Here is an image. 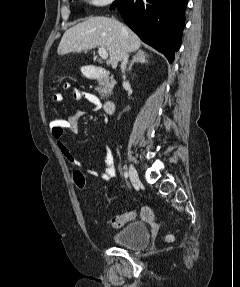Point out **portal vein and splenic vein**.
Listing matches in <instances>:
<instances>
[{"label": "portal vein and splenic vein", "mask_w": 240, "mask_h": 287, "mask_svg": "<svg viewBox=\"0 0 240 287\" xmlns=\"http://www.w3.org/2000/svg\"><path fill=\"white\" fill-rule=\"evenodd\" d=\"M98 53L102 59H107L108 58V52L104 47H98Z\"/></svg>", "instance_id": "obj_1"}]
</instances>
